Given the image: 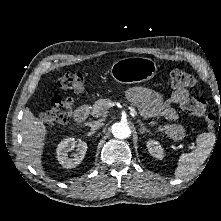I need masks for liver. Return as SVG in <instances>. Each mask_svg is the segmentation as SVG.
Returning a JSON list of instances; mask_svg holds the SVG:
<instances>
[{
    "label": "liver",
    "mask_w": 221,
    "mask_h": 221,
    "mask_svg": "<svg viewBox=\"0 0 221 221\" xmlns=\"http://www.w3.org/2000/svg\"><path fill=\"white\" fill-rule=\"evenodd\" d=\"M46 132L47 130L44 122L36 118L33 113L26 108L21 121L23 146L25 148V154L28 162L32 164L40 173H44L41 165V155L45 136L47 134Z\"/></svg>",
    "instance_id": "1"
}]
</instances>
